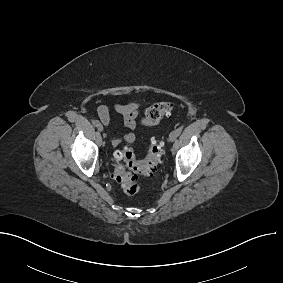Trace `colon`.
<instances>
[{
    "mask_svg": "<svg viewBox=\"0 0 283 283\" xmlns=\"http://www.w3.org/2000/svg\"><path fill=\"white\" fill-rule=\"evenodd\" d=\"M175 106L171 102H160L150 106L141 119L144 126L157 125L163 118L172 114ZM163 154L162 142L153 139L144 160H138L134 150L124 147L114 154L113 179L127 195H135L141 189L137 175H152L156 172Z\"/></svg>",
    "mask_w": 283,
    "mask_h": 283,
    "instance_id": "5ec220e1",
    "label": "colon"
}]
</instances>
